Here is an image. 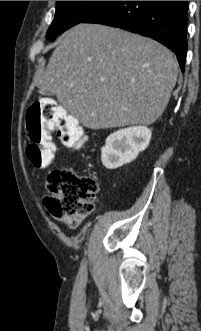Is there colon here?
I'll return each mask as SVG.
<instances>
[{
	"label": "colon",
	"mask_w": 201,
	"mask_h": 331,
	"mask_svg": "<svg viewBox=\"0 0 201 331\" xmlns=\"http://www.w3.org/2000/svg\"><path fill=\"white\" fill-rule=\"evenodd\" d=\"M26 120L29 133L26 155L37 167H46L54 160L51 131H56L61 141L74 149L82 148L85 143L77 120L53 99L34 102ZM47 188L50 195L43 200L46 209L71 227L79 226L94 209L98 183L92 176L78 175L70 169L54 170L48 177Z\"/></svg>",
	"instance_id": "1"
}]
</instances>
